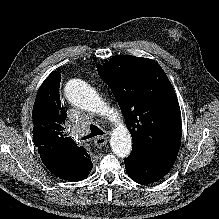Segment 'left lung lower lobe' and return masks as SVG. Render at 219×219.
<instances>
[{
  "label": "left lung lower lobe",
  "instance_id": "obj_1",
  "mask_svg": "<svg viewBox=\"0 0 219 219\" xmlns=\"http://www.w3.org/2000/svg\"><path fill=\"white\" fill-rule=\"evenodd\" d=\"M177 156H161L145 150H134L124 160L128 175L137 183H154L172 168Z\"/></svg>",
  "mask_w": 219,
  "mask_h": 219
}]
</instances>
